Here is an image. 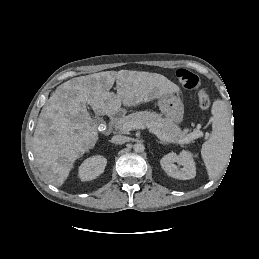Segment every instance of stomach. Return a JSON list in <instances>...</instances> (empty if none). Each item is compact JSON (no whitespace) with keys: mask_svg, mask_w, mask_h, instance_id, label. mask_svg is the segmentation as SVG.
<instances>
[{"mask_svg":"<svg viewBox=\"0 0 259 259\" xmlns=\"http://www.w3.org/2000/svg\"><path fill=\"white\" fill-rule=\"evenodd\" d=\"M158 106L162 114L176 124L183 120L184 107L179 97L172 94L164 95L159 98Z\"/></svg>","mask_w":259,"mask_h":259,"instance_id":"1","label":"stomach"}]
</instances>
